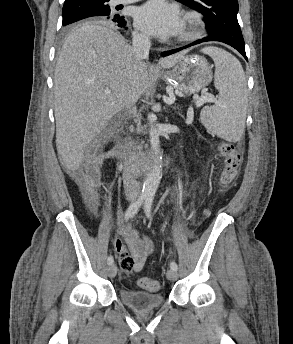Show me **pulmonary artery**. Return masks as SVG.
<instances>
[{"label": "pulmonary artery", "instance_id": "e3ab8cb5", "mask_svg": "<svg viewBox=\"0 0 293 344\" xmlns=\"http://www.w3.org/2000/svg\"><path fill=\"white\" fill-rule=\"evenodd\" d=\"M116 4H127V3H132L136 2L138 0H113Z\"/></svg>", "mask_w": 293, "mask_h": 344}]
</instances>
